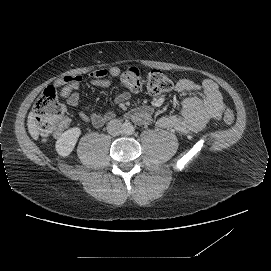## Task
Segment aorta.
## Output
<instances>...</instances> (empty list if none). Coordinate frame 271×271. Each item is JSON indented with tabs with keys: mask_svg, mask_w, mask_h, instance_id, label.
Wrapping results in <instances>:
<instances>
[{
	"mask_svg": "<svg viewBox=\"0 0 271 271\" xmlns=\"http://www.w3.org/2000/svg\"><path fill=\"white\" fill-rule=\"evenodd\" d=\"M134 132L133 126H130L129 129L126 131L128 134H132Z\"/></svg>",
	"mask_w": 271,
	"mask_h": 271,
	"instance_id": "762f6f07",
	"label": "aorta"
}]
</instances>
